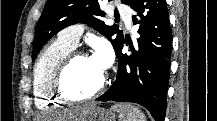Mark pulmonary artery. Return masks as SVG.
<instances>
[{
    "instance_id": "obj_1",
    "label": "pulmonary artery",
    "mask_w": 217,
    "mask_h": 121,
    "mask_svg": "<svg viewBox=\"0 0 217 121\" xmlns=\"http://www.w3.org/2000/svg\"><path fill=\"white\" fill-rule=\"evenodd\" d=\"M119 13H120L122 19L124 20L127 28L130 29L131 24H132L130 12L125 8H120ZM83 32H84V25L75 24V25H71V26L65 28L63 31H61V33L59 34V37L63 41L72 45L73 47H76Z\"/></svg>"
}]
</instances>
